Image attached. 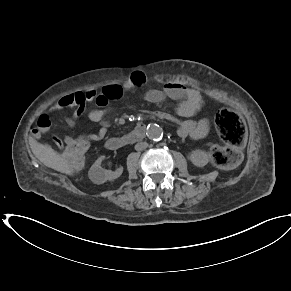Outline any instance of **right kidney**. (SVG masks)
<instances>
[{
  "label": "right kidney",
  "mask_w": 291,
  "mask_h": 291,
  "mask_svg": "<svg viewBox=\"0 0 291 291\" xmlns=\"http://www.w3.org/2000/svg\"><path fill=\"white\" fill-rule=\"evenodd\" d=\"M104 158V156L99 157L89 170V178L95 184H102L107 180H114L122 175V167L118 168L116 171L102 168L101 162Z\"/></svg>",
  "instance_id": "right-kidney-1"
}]
</instances>
